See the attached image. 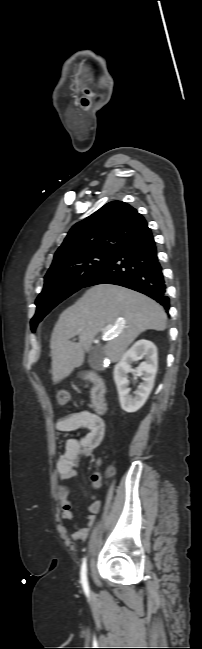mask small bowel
I'll return each mask as SVG.
<instances>
[{
	"label": "small bowel",
	"mask_w": 202,
	"mask_h": 649,
	"mask_svg": "<svg viewBox=\"0 0 202 649\" xmlns=\"http://www.w3.org/2000/svg\"><path fill=\"white\" fill-rule=\"evenodd\" d=\"M56 428L61 432H73L79 429H85L87 431L81 439H69L66 442L64 453L57 460L56 467L59 479L61 482H64L76 476L79 460L92 456L95 449L105 437L106 427L103 418L91 411L84 410L60 418L56 423ZM90 480L92 487L99 489L102 485V474L97 470L91 475ZM57 494L60 499L62 518L73 521L74 515L72 512V503L68 499V487L60 483L57 488ZM91 501L85 515L88 526L81 528L73 523V533L70 536L73 541H85L87 539L88 533L95 521L96 514L100 511L101 500L92 495Z\"/></svg>",
	"instance_id": "c3829d8e"
}]
</instances>
